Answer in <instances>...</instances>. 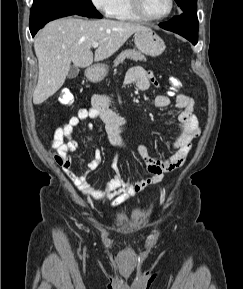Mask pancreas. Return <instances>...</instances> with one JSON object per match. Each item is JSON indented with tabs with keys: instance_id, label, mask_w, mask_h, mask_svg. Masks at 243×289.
I'll return each instance as SVG.
<instances>
[{
	"instance_id": "obj_1",
	"label": "pancreas",
	"mask_w": 243,
	"mask_h": 289,
	"mask_svg": "<svg viewBox=\"0 0 243 289\" xmlns=\"http://www.w3.org/2000/svg\"><path fill=\"white\" fill-rule=\"evenodd\" d=\"M125 59H132L134 61H145V56L135 49H128L122 51L117 58L114 60V67L118 66L120 63H123Z\"/></svg>"
}]
</instances>
